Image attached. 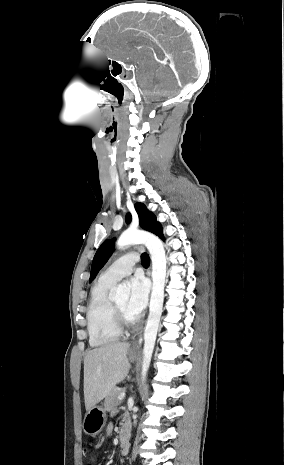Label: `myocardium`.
<instances>
[{"instance_id": "myocardium-1", "label": "myocardium", "mask_w": 284, "mask_h": 465, "mask_svg": "<svg viewBox=\"0 0 284 465\" xmlns=\"http://www.w3.org/2000/svg\"><path fill=\"white\" fill-rule=\"evenodd\" d=\"M112 305V312L114 316V321L112 322V326L114 330L120 334H127L130 332L132 329L135 328V326L138 323V318H133L129 319L123 313L120 311L116 303L111 302Z\"/></svg>"}]
</instances>
